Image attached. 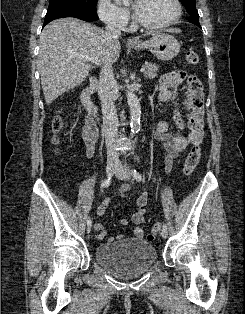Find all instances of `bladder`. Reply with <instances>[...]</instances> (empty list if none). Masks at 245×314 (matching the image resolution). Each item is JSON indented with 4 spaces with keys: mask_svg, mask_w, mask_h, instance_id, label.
<instances>
[{
    "mask_svg": "<svg viewBox=\"0 0 245 314\" xmlns=\"http://www.w3.org/2000/svg\"><path fill=\"white\" fill-rule=\"evenodd\" d=\"M94 258L112 274L132 277L154 265L157 251L145 239H128L99 244L95 248Z\"/></svg>",
    "mask_w": 245,
    "mask_h": 314,
    "instance_id": "1",
    "label": "bladder"
}]
</instances>
